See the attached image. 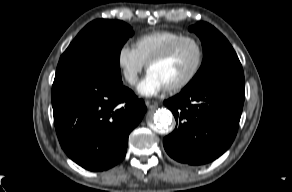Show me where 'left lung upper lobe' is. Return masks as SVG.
<instances>
[{
    "label": "left lung upper lobe",
    "instance_id": "obj_1",
    "mask_svg": "<svg viewBox=\"0 0 292 192\" xmlns=\"http://www.w3.org/2000/svg\"><path fill=\"white\" fill-rule=\"evenodd\" d=\"M189 31L195 32L201 39L204 59L183 90L219 81L244 82L243 69L234 49L216 28L201 21L191 26Z\"/></svg>",
    "mask_w": 292,
    "mask_h": 192
}]
</instances>
